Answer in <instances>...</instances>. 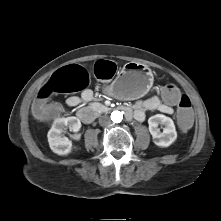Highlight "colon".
<instances>
[{"mask_svg":"<svg viewBox=\"0 0 221 221\" xmlns=\"http://www.w3.org/2000/svg\"><path fill=\"white\" fill-rule=\"evenodd\" d=\"M116 73L115 63L100 60L94 66V74L98 79L108 80ZM88 72L79 65H70L56 71L49 81L40 89L34 104L35 120H40L49 113L63 114L62 107L53 103L48 105L47 99L55 93H70L84 90L89 84ZM159 98L167 106L178 104V130L188 133L194 125L191 101L187 95H182L180 88L174 84H166L159 91Z\"/></svg>","mask_w":221,"mask_h":221,"instance_id":"1","label":"colon"}]
</instances>
